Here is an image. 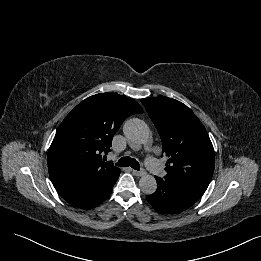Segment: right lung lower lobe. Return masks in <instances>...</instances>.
Here are the masks:
<instances>
[{
	"mask_svg": "<svg viewBox=\"0 0 261 261\" xmlns=\"http://www.w3.org/2000/svg\"><path fill=\"white\" fill-rule=\"evenodd\" d=\"M119 174L120 172L98 190L88 195L69 200L68 202L76 207L84 209H90L99 205L111 194L113 186L117 181Z\"/></svg>",
	"mask_w": 261,
	"mask_h": 261,
	"instance_id": "1",
	"label": "right lung lower lobe"
}]
</instances>
